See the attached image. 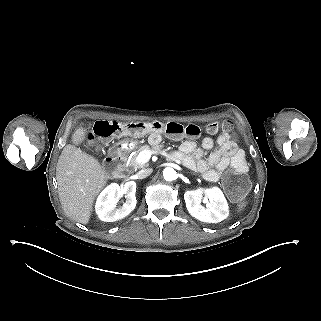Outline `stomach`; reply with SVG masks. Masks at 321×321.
Returning <instances> with one entry per match:
<instances>
[{"label": "stomach", "instance_id": "stomach-1", "mask_svg": "<svg viewBox=\"0 0 321 321\" xmlns=\"http://www.w3.org/2000/svg\"><path fill=\"white\" fill-rule=\"evenodd\" d=\"M126 142H128V141L127 140L119 141L118 143L115 144V147H117L123 143H126Z\"/></svg>", "mask_w": 321, "mask_h": 321}]
</instances>
